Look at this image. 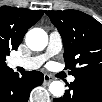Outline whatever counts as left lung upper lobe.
Returning a JSON list of instances; mask_svg holds the SVG:
<instances>
[{"label":"left lung upper lobe","instance_id":"left-lung-upper-lobe-1","mask_svg":"<svg viewBox=\"0 0 102 102\" xmlns=\"http://www.w3.org/2000/svg\"><path fill=\"white\" fill-rule=\"evenodd\" d=\"M59 30L64 61L75 79L102 83V24L77 11H45Z\"/></svg>","mask_w":102,"mask_h":102}]
</instances>
